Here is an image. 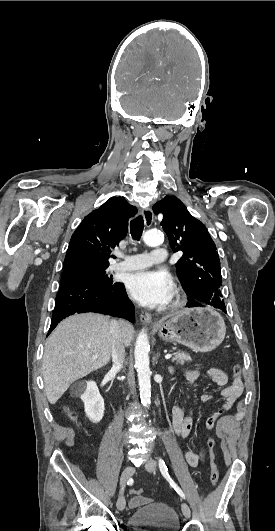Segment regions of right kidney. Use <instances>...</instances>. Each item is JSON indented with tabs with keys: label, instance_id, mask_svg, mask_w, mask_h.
Listing matches in <instances>:
<instances>
[{
	"label": "right kidney",
	"instance_id": "obj_1",
	"mask_svg": "<svg viewBox=\"0 0 275 531\" xmlns=\"http://www.w3.org/2000/svg\"><path fill=\"white\" fill-rule=\"evenodd\" d=\"M72 397H80L84 403L86 417L91 423H100L103 419L105 407L95 381H78L70 389Z\"/></svg>",
	"mask_w": 275,
	"mask_h": 531
}]
</instances>
